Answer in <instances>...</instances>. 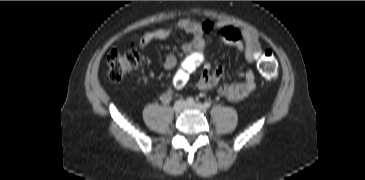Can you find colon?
Returning a JSON list of instances; mask_svg holds the SVG:
<instances>
[{
    "mask_svg": "<svg viewBox=\"0 0 365 180\" xmlns=\"http://www.w3.org/2000/svg\"><path fill=\"white\" fill-rule=\"evenodd\" d=\"M141 63L140 55L132 45L125 50H113L108 55V77L114 83L121 82L136 70ZM257 65L267 80H274L278 75V65L275 56L265 51L257 56Z\"/></svg>",
    "mask_w": 365,
    "mask_h": 180,
    "instance_id": "colon-1",
    "label": "colon"
}]
</instances>
